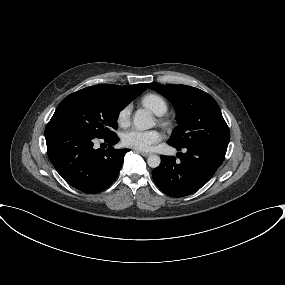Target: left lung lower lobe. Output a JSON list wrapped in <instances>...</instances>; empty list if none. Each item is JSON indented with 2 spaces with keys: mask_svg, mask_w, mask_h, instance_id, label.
<instances>
[{
  "mask_svg": "<svg viewBox=\"0 0 285 285\" xmlns=\"http://www.w3.org/2000/svg\"><path fill=\"white\" fill-rule=\"evenodd\" d=\"M176 157L161 156V164L152 172L158 188L172 197L190 195L203 187L222 164L227 147L221 145L192 144L177 147Z\"/></svg>",
  "mask_w": 285,
  "mask_h": 285,
  "instance_id": "0a47b994",
  "label": "left lung lower lobe"
}]
</instances>
